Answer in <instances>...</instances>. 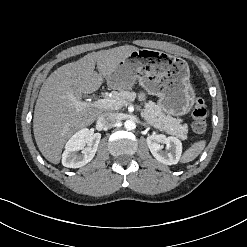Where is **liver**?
I'll list each match as a JSON object with an SVG mask.
<instances>
[{
	"label": "liver",
	"mask_w": 247,
	"mask_h": 247,
	"mask_svg": "<svg viewBox=\"0 0 247 247\" xmlns=\"http://www.w3.org/2000/svg\"><path fill=\"white\" fill-rule=\"evenodd\" d=\"M132 45L91 52L76 62L65 64L44 81L36 101L33 132L42 155L58 164L66 141L77 131L90 126L101 112L92 107H78L82 94L99 89L104 79L133 51ZM97 65L98 72L94 71Z\"/></svg>",
	"instance_id": "obj_1"
}]
</instances>
